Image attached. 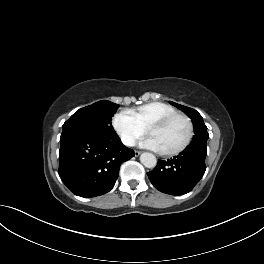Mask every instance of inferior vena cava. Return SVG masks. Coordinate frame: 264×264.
Masks as SVG:
<instances>
[{"label":"inferior vena cava","mask_w":264,"mask_h":264,"mask_svg":"<svg viewBox=\"0 0 264 264\" xmlns=\"http://www.w3.org/2000/svg\"><path fill=\"white\" fill-rule=\"evenodd\" d=\"M122 142L124 145L126 146H134L135 145V141L134 139L130 138V137H125L122 139Z\"/></svg>","instance_id":"inferior-vena-cava-1"}]
</instances>
